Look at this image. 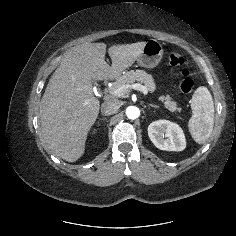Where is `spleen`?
<instances>
[{
	"mask_svg": "<svg viewBox=\"0 0 236 236\" xmlns=\"http://www.w3.org/2000/svg\"><path fill=\"white\" fill-rule=\"evenodd\" d=\"M191 110L189 131L197 143L203 144L210 137L214 125V102L206 87L201 86L195 90L191 99Z\"/></svg>",
	"mask_w": 236,
	"mask_h": 236,
	"instance_id": "obj_1",
	"label": "spleen"
}]
</instances>
